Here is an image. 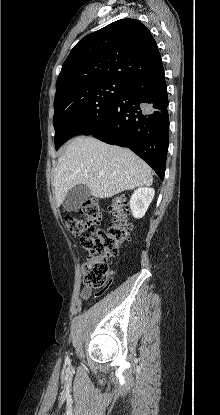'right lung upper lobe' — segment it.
Masks as SVG:
<instances>
[{
	"instance_id": "1",
	"label": "right lung upper lobe",
	"mask_w": 220,
	"mask_h": 415,
	"mask_svg": "<svg viewBox=\"0 0 220 415\" xmlns=\"http://www.w3.org/2000/svg\"><path fill=\"white\" fill-rule=\"evenodd\" d=\"M163 68L149 29L135 19L115 21L81 39L65 60L56 94L79 83L136 81Z\"/></svg>"
}]
</instances>
